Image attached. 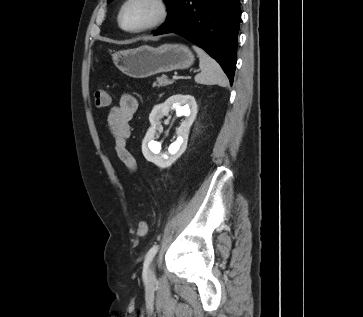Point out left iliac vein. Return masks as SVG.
<instances>
[{"mask_svg": "<svg viewBox=\"0 0 363 317\" xmlns=\"http://www.w3.org/2000/svg\"><path fill=\"white\" fill-rule=\"evenodd\" d=\"M146 278H147V281H149V282H152V281L155 280V268H154V264H152L149 267V269L147 271V277Z\"/></svg>", "mask_w": 363, "mask_h": 317, "instance_id": "1", "label": "left iliac vein"}]
</instances>
